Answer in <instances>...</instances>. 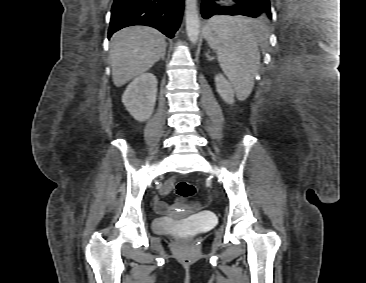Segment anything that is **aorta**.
Instances as JSON below:
<instances>
[{
	"mask_svg": "<svg viewBox=\"0 0 366 283\" xmlns=\"http://www.w3.org/2000/svg\"><path fill=\"white\" fill-rule=\"evenodd\" d=\"M186 32L191 43L196 44L200 33L197 0H185Z\"/></svg>",
	"mask_w": 366,
	"mask_h": 283,
	"instance_id": "aorta-1",
	"label": "aorta"
}]
</instances>
